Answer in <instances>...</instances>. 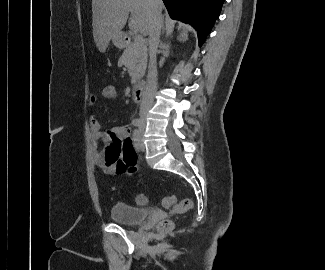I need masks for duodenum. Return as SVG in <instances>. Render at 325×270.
<instances>
[{
  "label": "duodenum",
  "mask_w": 325,
  "mask_h": 270,
  "mask_svg": "<svg viewBox=\"0 0 325 270\" xmlns=\"http://www.w3.org/2000/svg\"><path fill=\"white\" fill-rule=\"evenodd\" d=\"M144 94H145V85L144 83H139L137 84L134 89H133V101L135 103H141L144 99Z\"/></svg>",
  "instance_id": "1"
}]
</instances>
